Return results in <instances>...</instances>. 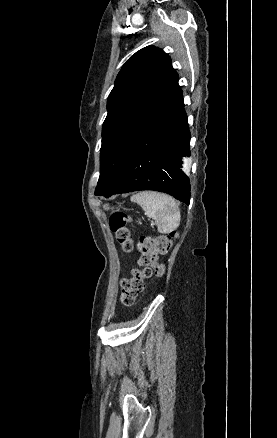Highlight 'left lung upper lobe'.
I'll return each mask as SVG.
<instances>
[{
	"label": "left lung upper lobe",
	"mask_w": 277,
	"mask_h": 438,
	"mask_svg": "<svg viewBox=\"0 0 277 438\" xmlns=\"http://www.w3.org/2000/svg\"><path fill=\"white\" fill-rule=\"evenodd\" d=\"M150 95L185 113L178 74L170 57L154 46H147L128 59L108 97L95 195L102 194L117 179L132 143L138 113Z\"/></svg>",
	"instance_id": "left-lung-upper-lobe-1"
}]
</instances>
